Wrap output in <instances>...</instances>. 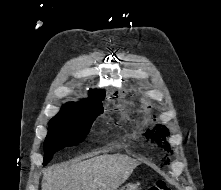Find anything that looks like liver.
<instances>
[{"mask_svg": "<svg viewBox=\"0 0 221 190\" xmlns=\"http://www.w3.org/2000/svg\"><path fill=\"white\" fill-rule=\"evenodd\" d=\"M138 165L121 154L56 164L43 171L41 190H117Z\"/></svg>", "mask_w": 221, "mask_h": 190, "instance_id": "obj_1", "label": "liver"}]
</instances>
